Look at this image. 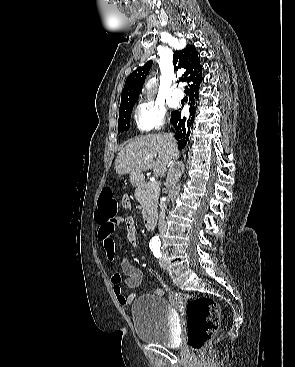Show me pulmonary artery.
I'll return each instance as SVG.
<instances>
[{
  "mask_svg": "<svg viewBox=\"0 0 295 367\" xmlns=\"http://www.w3.org/2000/svg\"><path fill=\"white\" fill-rule=\"evenodd\" d=\"M172 97L176 100H181L184 97V93L180 89H175L172 92Z\"/></svg>",
  "mask_w": 295,
  "mask_h": 367,
  "instance_id": "1",
  "label": "pulmonary artery"
}]
</instances>
